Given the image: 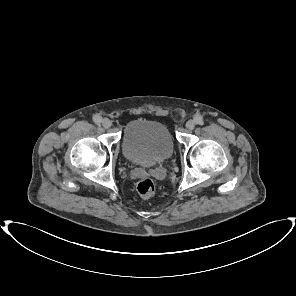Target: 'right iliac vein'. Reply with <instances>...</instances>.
Segmentation results:
<instances>
[{"label":"right iliac vein","instance_id":"63e3f726","mask_svg":"<svg viewBox=\"0 0 296 296\" xmlns=\"http://www.w3.org/2000/svg\"><path fill=\"white\" fill-rule=\"evenodd\" d=\"M102 126L104 127V128H110L111 127V121L109 120V119H107V118H104L103 120H102Z\"/></svg>","mask_w":296,"mask_h":296}]
</instances>
